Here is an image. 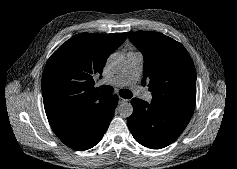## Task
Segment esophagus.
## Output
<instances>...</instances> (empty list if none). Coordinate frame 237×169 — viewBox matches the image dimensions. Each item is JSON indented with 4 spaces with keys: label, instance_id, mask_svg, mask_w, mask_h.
<instances>
[{
    "label": "esophagus",
    "instance_id": "esophagus-1",
    "mask_svg": "<svg viewBox=\"0 0 237 169\" xmlns=\"http://www.w3.org/2000/svg\"><path fill=\"white\" fill-rule=\"evenodd\" d=\"M120 100H121V101H125V99H123V98H121Z\"/></svg>",
    "mask_w": 237,
    "mask_h": 169
}]
</instances>
